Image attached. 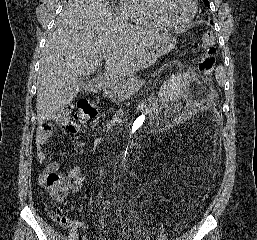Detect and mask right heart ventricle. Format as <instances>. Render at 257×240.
I'll use <instances>...</instances> for the list:
<instances>
[{
  "label": "right heart ventricle",
  "instance_id": "obj_1",
  "mask_svg": "<svg viewBox=\"0 0 257 240\" xmlns=\"http://www.w3.org/2000/svg\"><path fill=\"white\" fill-rule=\"evenodd\" d=\"M119 10L125 18L138 26L155 30L167 27L154 14L151 0H121Z\"/></svg>",
  "mask_w": 257,
  "mask_h": 240
}]
</instances>
